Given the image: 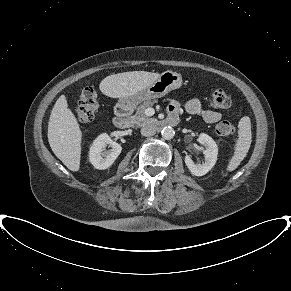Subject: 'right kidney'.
<instances>
[{"instance_id": "1", "label": "right kidney", "mask_w": 291, "mask_h": 291, "mask_svg": "<svg viewBox=\"0 0 291 291\" xmlns=\"http://www.w3.org/2000/svg\"><path fill=\"white\" fill-rule=\"evenodd\" d=\"M107 145L111 147L110 150L105 149ZM121 150V145L104 133L98 136L90 147L89 160L96 169H107L114 163Z\"/></svg>"}]
</instances>
